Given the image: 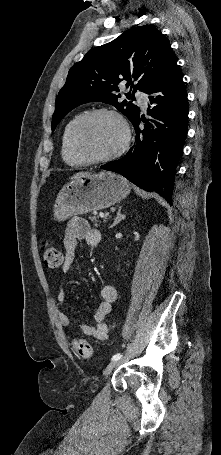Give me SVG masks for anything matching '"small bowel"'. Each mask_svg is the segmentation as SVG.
<instances>
[{
    "label": "small bowel",
    "instance_id": "c3829d8e",
    "mask_svg": "<svg viewBox=\"0 0 221 455\" xmlns=\"http://www.w3.org/2000/svg\"><path fill=\"white\" fill-rule=\"evenodd\" d=\"M81 241H85L89 246H97L101 242V233L96 229L90 228L88 223L81 218H72L66 228L63 245L64 259L62 270L68 273L77 262V246ZM74 279L67 281V285H77ZM117 299V290L113 285H105L101 290V300L94 311L95 325L81 324L80 328L84 335L92 337L98 341L107 339L109 328L105 322L106 316L110 313L113 303ZM58 300L64 302L66 293L64 287L60 288ZM60 324L68 328L71 319L65 312L58 313Z\"/></svg>",
    "mask_w": 221,
    "mask_h": 455
}]
</instances>
